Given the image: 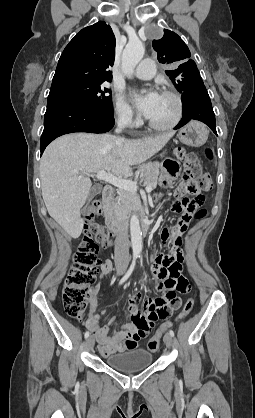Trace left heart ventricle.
<instances>
[{
  "mask_svg": "<svg viewBox=\"0 0 255 418\" xmlns=\"http://www.w3.org/2000/svg\"><path fill=\"white\" fill-rule=\"evenodd\" d=\"M175 112L174 100L168 96L160 95L159 101L148 119L157 124H167L172 120Z\"/></svg>",
  "mask_w": 255,
  "mask_h": 418,
  "instance_id": "left-heart-ventricle-1",
  "label": "left heart ventricle"
}]
</instances>
